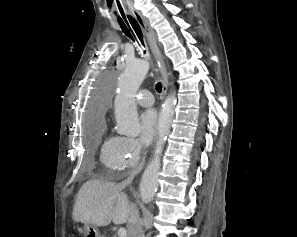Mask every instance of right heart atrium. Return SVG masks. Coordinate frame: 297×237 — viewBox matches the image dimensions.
Masks as SVG:
<instances>
[{"mask_svg":"<svg viewBox=\"0 0 297 237\" xmlns=\"http://www.w3.org/2000/svg\"><path fill=\"white\" fill-rule=\"evenodd\" d=\"M144 148L141 143L134 138H121L120 161L122 169L136 168L142 161Z\"/></svg>","mask_w":297,"mask_h":237,"instance_id":"obj_1","label":"right heart atrium"}]
</instances>
